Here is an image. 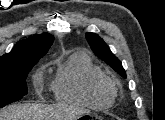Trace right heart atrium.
Here are the masks:
<instances>
[{
	"mask_svg": "<svg viewBox=\"0 0 165 120\" xmlns=\"http://www.w3.org/2000/svg\"><path fill=\"white\" fill-rule=\"evenodd\" d=\"M39 80H40V75H37L36 76V81L39 82Z\"/></svg>",
	"mask_w": 165,
	"mask_h": 120,
	"instance_id": "obj_1",
	"label": "right heart atrium"
}]
</instances>
